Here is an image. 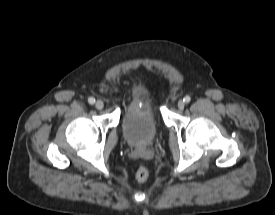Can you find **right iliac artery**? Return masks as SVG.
Listing matches in <instances>:
<instances>
[{
  "mask_svg": "<svg viewBox=\"0 0 275 215\" xmlns=\"http://www.w3.org/2000/svg\"><path fill=\"white\" fill-rule=\"evenodd\" d=\"M88 102H89V104H94L95 103V99L93 97H90L88 99Z\"/></svg>",
  "mask_w": 275,
  "mask_h": 215,
  "instance_id": "1",
  "label": "right iliac artery"
}]
</instances>
